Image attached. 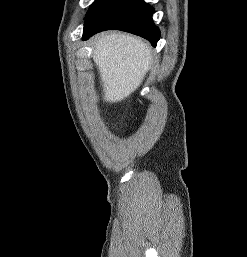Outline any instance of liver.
I'll return each instance as SVG.
<instances>
[{
    "mask_svg": "<svg viewBox=\"0 0 247 257\" xmlns=\"http://www.w3.org/2000/svg\"><path fill=\"white\" fill-rule=\"evenodd\" d=\"M93 45L104 101L124 100L141 85L149 70L151 48L141 38L121 32L102 33Z\"/></svg>",
    "mask_w": 247,
    "mask_h": 257,
    "instance_id": "obj_1",
    "label": "liver"
}]
</instances>
